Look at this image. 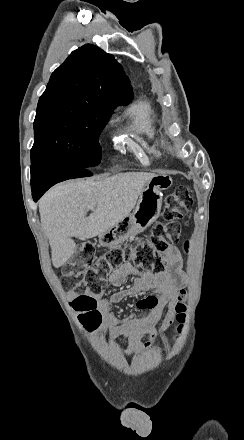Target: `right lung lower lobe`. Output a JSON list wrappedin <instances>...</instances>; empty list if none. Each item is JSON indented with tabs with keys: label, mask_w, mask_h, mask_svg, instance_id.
<instances>
[{
	"label": "right lung lower lobe",
	"mask_w": 244,
	"mask_h": 440,
	"mask_svg": "<svg viewBox=\"0 0 244 440\" xmlns=\"http://www.w3.org/2000/svg\"><path fill=\"white\" fill-rule=\"evenodd\" d=\"M92 176L89 168L59 161L37 162L31 165V188L35 202L54 184L73 178Z\"/></svg>",
	"instance_id": "obj_1"
}]
</instances>
